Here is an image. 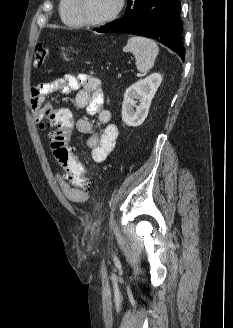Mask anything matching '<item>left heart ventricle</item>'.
<instances>
[{
    "label": "left heart ventricle",
    "instance_id": "obj_1",
    "mask_svg": "<svg viewBox=\"0 0 233 328\" xmlns=\"http://www.w3.org/2000/svg\"><path fill=\"white\" fill-rule=\"evenodd\" d=\"M118 0H81V11L85 19L98 21L111 15Z\"/></svg>",
    "mask_w": 233,
    "mask_h": 328
}]
</instances>
